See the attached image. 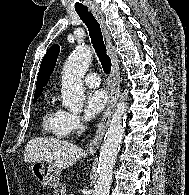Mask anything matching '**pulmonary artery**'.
I'll return each instance as SVG.
<instances>
[{
	"label": "pulmonary artery",
	"mask_w": 189,
	"mask_h": 195,
	"mask_svg": "<svg viewBox=\"0 0 189 195\" xmlns=\"http://www.w3.org/2000/svg\"><path fill=\"white\" fill-rule=\"evenodd\" d=\"M84 82L88 87L96 88L100 85L101 80L97 73L90 72L84 76Z\"/></svg>",
	"instance_id": "1"
}]
</instances>
